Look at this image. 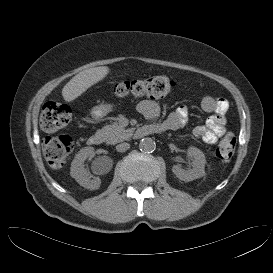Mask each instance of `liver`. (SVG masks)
Instances as JSON below:
<instances>
[{
	"instance_id": "obj_1",
	"label": "liver",
	"mask_w": 273,
	"mask_h": 273,
	"mask_svg": "<svg viewBox=\"0 0 273 273\" xmlns=\"http://www.w3.org/2000/svg\"><path fill=\"white\" fill-rule=\"evenodd\" d=\"M109 72V67L100 66L86 69L76 74L62 89L64 100L67 102L75 100L88 88L103 80Z\"/></svg>"
}]
</instances>
